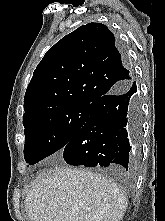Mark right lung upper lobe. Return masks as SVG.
I'll return each instance as SVG.
<instances>
[{
    "mask_svg": "<svg viewBox=\"0 0 165 221\" xmlns=\"http://www.w3.org/2000/svg\"><path fill=\"white\" fill-rule=\"evenodd\" d=\"M132 80L114 34L101 23H88L44 55L25 93L23 120L54 107L92 104Z\"/></svg>",
    "mask_w": 165,
    "mask_h": 221,
    "instance_id": "1",
    "label": "right lung upper lobe"
}]
</instances>
